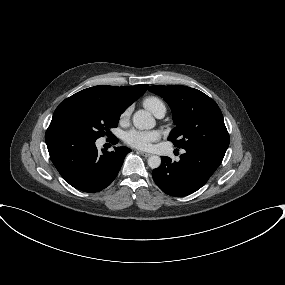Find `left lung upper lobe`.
<instances>
[{
    "label": "left lung upper lobe",
    "mask_w": 285,
    "mask_h": 285,
    "mask_svg": "<svg viewBox=\"0 0 285 285\" xmlns=\"http://www.w3.org/2000/svg\"><path fill=\"white\" fill-rule=\"evenodd\" d=\"M171 107L176 127L168 140L177 148L206 147L226 151L229 134L216 102L187 86H151Z\"/></svg>",
    "instance_id": "5c2ea615"
}]
</instances>
